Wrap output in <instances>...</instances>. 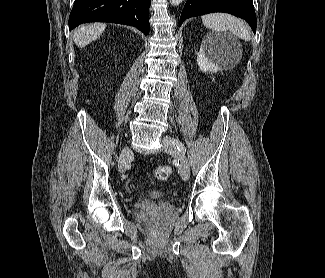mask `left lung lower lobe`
Here are the masks:
<instances>
[{"mask_svg": "<svg viewBox=\"0 0 325 278\" xmlns=\"http://www.w3.org/2000/svg\"><path fill=\"white\" fill-rule=\"evenodd\" d=\"M211 12H225L243 18L256 32V14L252 0H187L180 25L187 18Z\"/></svg>", "mask_w": 325, "mask_h": 278, "instance_id": "obj_1", "label": "left lung lower lobe"}]
</instances>
